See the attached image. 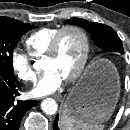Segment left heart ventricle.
I'll use <instances>...</instances> for the list:
<instances>
[{
  "label": "left heart ventricle",
  "mask_w": 130,
  "mask_h": 130,
  "mask_svg": "<svg viewBox=\"0 0 130 130\" xmlns=\"http://www.w3.org/2000/svg\"><path fill=\"white\" fill-rule=\"evenodd\" d=\"M82 53V38L76 32L68 31L61 38L56 56L44 60V69L55 70L66 79L78 67Z\"/></svg>",
  "instance_id": "obj_1"
}]
</instances>
